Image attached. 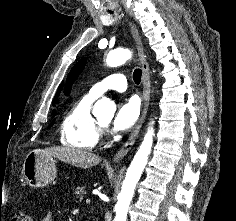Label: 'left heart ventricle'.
<instances>
[{
  "instance_id": "1",
  "label": "left heart ventricle",
  "mask_w": 236,
  "mask_h": 221,
  "mask_svg": "<svg viewBox=\"0 0 236 221\" xmlns=\"http://www.w3.org/2000/svg\"><path fill=\"white\" fill-rule=\"evenodd\" d=\"M100 123H101L102 125H106V124L108 123V121H107V120H100Z\"/></svg>"
}]
</instances>
